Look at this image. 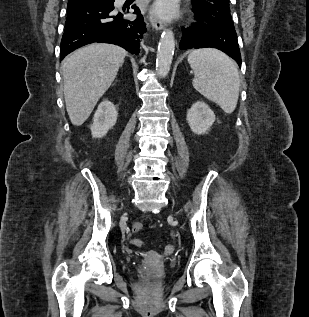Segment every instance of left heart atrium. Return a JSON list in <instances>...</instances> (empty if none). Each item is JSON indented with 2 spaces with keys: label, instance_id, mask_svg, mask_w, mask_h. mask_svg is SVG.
<instances>
[{
  "label": "left heart atrium",
  "instance_id": "obj_1",
  "mask_svg": "<svg viewBox=\"0 0 309 317\" xmlns=\"http://www.w3.org/2000/svg\"><path fill=\"white\" fill-rule=\"evenodd\" d=\"M153 12L162 18H172L178 13L176 0H157Z\"/></svg>",
  "mask_w": 309,
  "mask_h": 317
}]
</instances>
